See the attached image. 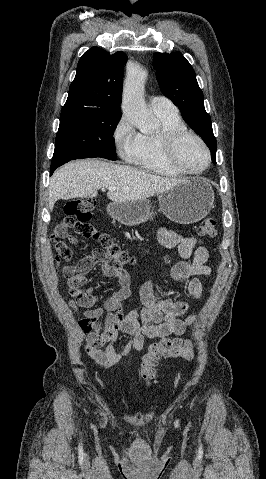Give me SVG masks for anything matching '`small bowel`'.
Masks as SVG:
<instances>
[{
    "mask_svg": "<svg viewBox=\"0 0 266 479\" xmlns=\"http://www.w3.org/2000/svg\"><path fill=\"white\" fill-rule=\"evenodd\" d=\"M63 237L71 244L77 243L76 238L69 233H65ZM158 240L165 247H177L182 258L171 270L172 279L179 284L184 283L185 292L193 298H201L203 286L195 277L210 276L212 273L211 268L206 265L208 250L197 238L182 236L166 228L158 231ZM61 258L58 257L57 261ZM95 265H100L104 276L114 278L118 283V288L99 306H93L94 303H90L89 298L79 292L87 281V273ZM62 273L70 289L76 281L74 288L77 293L70 294L69 306L73 310L78 307L88 308L82 314L78 325L84 333L86 353L101 366H115L132 351H140L145 338L157 340L171 334L182 335L186 327L196 321L195 315L188 313L189 302L161 298L159 290L151 281L145 282L140 288L142 306L124 313L122 302L131 295L129 276L123 269L113 267L105 261L100 251H94L79 265L64 266ZM104 312L106 316L102 321ZM185 314L186 318L181 319L180 316ZM120 333L129 335L131 339L122 352L118 353L114 343Z\"/></svg>",
    "mask_w": 266,
    "mask_h": 479,
    "instance_id": "obj_1",
    "label": "small bowel"
}]
</instances>
